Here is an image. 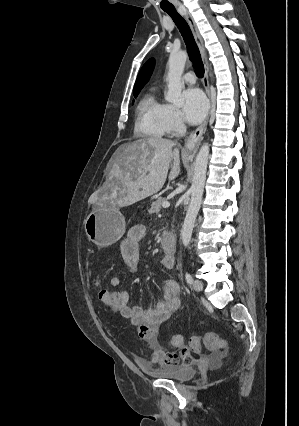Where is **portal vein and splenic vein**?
<instances>
[{
    "instance_id": "1",
    "label": "portal vein and splenic vein",
    "mask_w": 299,
    "mask_h": 426,
    "mask_svg": "<svg viewBox=\"0 0 299 426\" xmlns=\"http://www.w3.org/2000/svg\"><path fill=\"white\" fill-rule=\"evenodd\" d=\"M170 206V203L169 202H163V204H162V207L163 208H168Z\"/></svg>"
}]
</instances>
